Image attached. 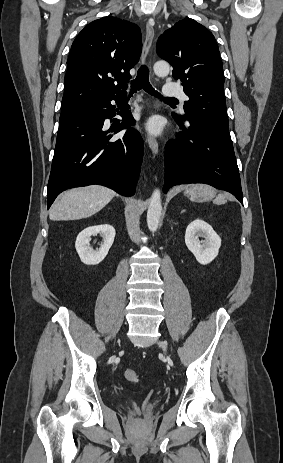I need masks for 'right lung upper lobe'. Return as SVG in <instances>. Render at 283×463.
Returning <instances> with one entry per match:
<instances>
[{
  "mask_svg": "<svg viewBox=\"0 0 283 463\" xmlns=\"http://www.w3.org/2000/svg\"><path fill=\"white\" fill-rule=\"evenodd\" d=\"M141 40L137 25L113 16L88 24L74 40L67 60L61 114L124 93L129 70L141 54Z\"/></svg>",
  "mask_w": 283,
  "mask_h": 463,
  "instance_id": "obj_1",
  "label": "right lung upper lobe"
}]
</instances>
